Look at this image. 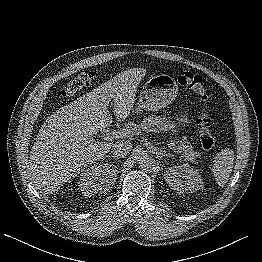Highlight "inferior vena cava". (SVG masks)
<instances>
[{
  "label": "inferior vena cava",
  "mask_w": 262,
  "mask_h": 262,
  "mask_svg": "<svg viewBox=\"0 0 262 262\" xmlns=\"http://www.w3.org/2000/svg\"><path fill=\"white\" fill-rule=\"evenodd\" d=\"M131 148V142L127 140H120L119 142H115V144H113L112 152L115 156L123 158L129 154Z\"/></svg>",
  "instance_id": "obj_1"
}]
</instances>
